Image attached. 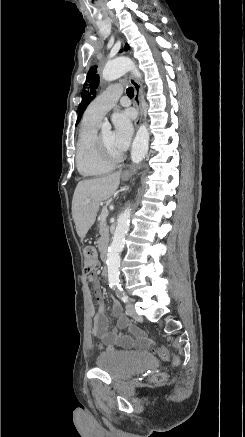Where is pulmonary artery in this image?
<instances>
[{
	"label": "pulmonary artery",
	"instance_id": "pulmonary-artery-1",
	"mask_svg": "<svg viewBox=\"0 0 245 437\" xmlns=\"http://www.w3.org/2000/svg\"><path fill=\"white\" fill-rule=\"evenodd\" d=\"M121 94V85L113 84L109 86L89 104L84 116L100 122L103 116L115 105Z\"/></svg>",
	"mask_w": 245,
	"mask_h": 437
}]
</instances>
